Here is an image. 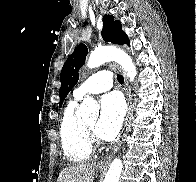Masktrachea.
Wrapping results in <instances>:
<instances>
[{
  "mask_svg": "<svg viewBox=\"0 0 196 182\" xmlns=\"http://www.w3.org/2000/svg\"><path fill=\"white\" fill-rule=\"evenodd\" d=\"M117 80H118V82L120 83V84H123L124 83V78H123V76L122 75H117Z\"/></svg>",
  "mask_w": 196,
  "mask_h": 182,
  "instance_id": "obj_1",
  "label": "trachea"
}]
</instances>
